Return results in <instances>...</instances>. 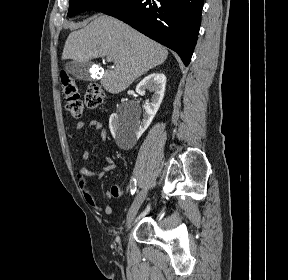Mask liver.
<instances>
[{
	"mask_svg": "<svg viewBox=\"0 0 288 280\" xmlns=\"http://www.w3.org/2000/svg\"><path fill=\"white\" fill-rule=\"evenodd\" d=\"M103 56L112 58L114 68L105 70L101 84L109 93L117 94L164 63L168 51L122 21L98 14L90 24L69 34L62 60L88 62Z\"/></svg>",
	"mask_w": 288,
	"mask_h": 280,
	"instance_id": "liver-1",
	"label": "liver"
}]
</instances>
